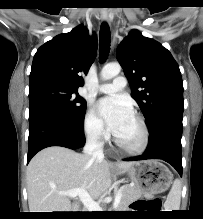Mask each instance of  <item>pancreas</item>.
<instances>
[{
	"label": "pancreas",
	"mask_w": 203,
	"mask_h": 219,
	"mask_svg": "<svg viewBox=\"0 0 203 219\" xmlns=\"http://www.w3.org/2000/svg\"><path fill=\"white\" fill-rule=\"evenodd\" d=\"M119 191L121 192L122 197L117 207L118 211L125 210L133 200L142 196V192L135 186L131 187L129 185H124L119 189Z\"/></svg>",
	"instance_id": "cf45deb5"
}]
</instances>
